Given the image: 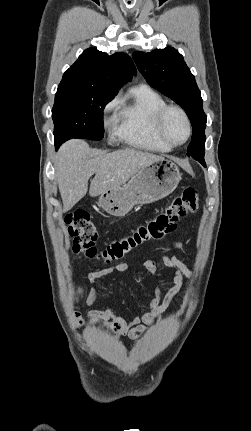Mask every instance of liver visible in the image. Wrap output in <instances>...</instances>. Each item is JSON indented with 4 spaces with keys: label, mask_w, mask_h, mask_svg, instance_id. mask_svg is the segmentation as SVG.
Segmentation results:
<instances>
[{
    "label": "liver",
    "mask_w": 251,
    "mask_h": 431,
    "mask_svg": "<svg viewBox=\"0 0 251 431\" xmlns=\"http://www.w3.org/2000/svg\"><path fill=\"white\" fill-rule=\"evenodd\" d=\"M163 157L132 148L106 153L91 149L84 140L64 143L55 159V177L63 201V212L69 211L88 191L96 197L107 190L124 186L143 167Z\"/></svg>",
    "instance_id": "6515ba94"
}]
</instances>
